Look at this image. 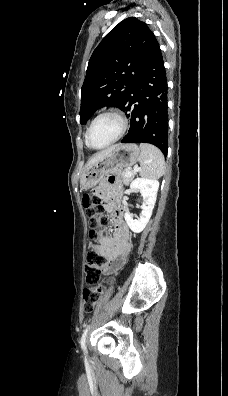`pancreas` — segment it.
Here are the masks:
<instances>
[{"label": "pancreas", "mask_w": 228, "mask_h": 396, "mask_svg": "<svg viewBox=\"0 0 228 396\" xmlns=\"http://www.w3.org/2000/svg\"><path fill=\"white\" fill-rule=\"evenodd\" d=\"M127 169H122V168H119V169H116L114 172L116 173V174H118L119 176H121L122 177V180H123V183L125 184V185H129V183L132 181V179L134 178V175H133V173L131 174V175H127Z\"/></svg>", "instance_id": "1"}]
</instances>
